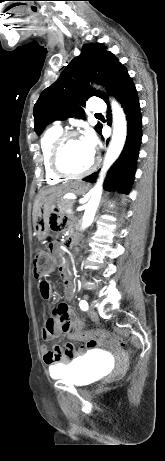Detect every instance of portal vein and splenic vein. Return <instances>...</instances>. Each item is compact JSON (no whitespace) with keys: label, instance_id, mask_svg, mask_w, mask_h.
I'll list each match as a JSON object with an SVG mask.
<instances>
[{"label":"portal vein and splenic vein","instance_id":"portal-vein-and-splenic-vein-1","mask_svg":"<svg viewBox=\"0 0 165 461\" xmlns=\"http://www.w3.org/2000/svg\"><path fill=\"white\" fill-rule=\"evenodd\" d=\"M66 213H67V214H72V213H73V209H72V208L67 209Z\"/></svg>","mask_w":165,"mask_h":461}]
</instances>
